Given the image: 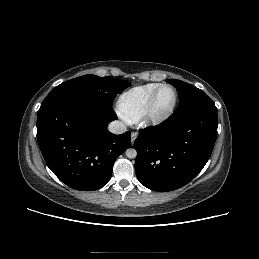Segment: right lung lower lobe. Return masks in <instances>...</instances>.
Instances as JSON below:
<instances>
[{"instance_id": "obj_1", "label": "right lung lower lobe", "mask_w": 259, "mask_h": 259, "mask_svg": "<svg viewBox=\"0 0 259 259\" xmlns=\"http://www.w3.org/2000/svg\"><path fill=\"white\" fill-rule=\"evenodd\" d=\"M116 118L111 108L83 98H62L41 107L37 140L50 170L76 190L102 188L115 160L130 146V132L107 131Z\"/></svg>"}]
</instances>
